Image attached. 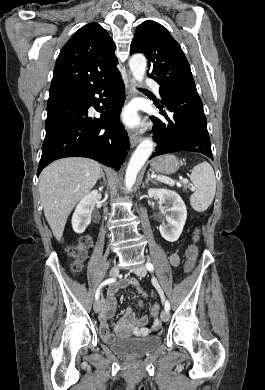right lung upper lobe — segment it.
Segmentation results:
<instances>
[{"label":"right lung upper lobe","instance_id":"1","mask_svg":"<svg viewBox=\"0 0 265 390\" xmlns=\"http://www.w3.org/2000/svg\"><path fill=\"white\" fill-rule=\"evenodd\" d=\"M115 44L97 23L81 27L63 46L53 73L49 99L74 94L118 71Z\"/></svg>","mask_w":265,"mask_h":390}]
</instances>
